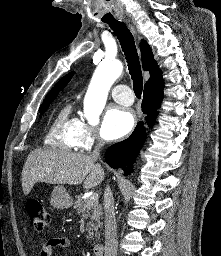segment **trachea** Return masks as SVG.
<instances>
[{"instance_id":"1","label":"trachea","mask_w":221,"mask_h":256,"mask_svg":"<svg viewBox=\"0 0 221 256\" xmlns=\"http://www.w3.org/2000/svg\"><path fill=\"white\" fill-rule=\"evenodd\" d=\"M111 29L116 33L121 48L125 54L129 73L133 80V89L137 98H141L143 90V77L141 65L134 42L133 35L123 22L112 21L108 22Z\"/></svg>"}]
</instances>
